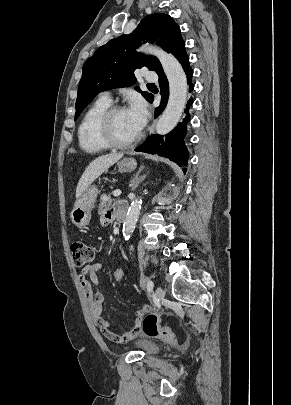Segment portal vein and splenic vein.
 I'll return each instance as SVG.
<instances>
[{"mask_svg": "<svg viewBox=\"0 0 291 405\" xmlns=\"http://www.w3.org/2000/svg\"><path fill=\"white\" fill-rule=\"evenodd\" d=\"M121 190H115L114 192H113V195L115 196V197H118V196H120L121 195Z\"/></svg>", "mask_w": 291, "mask_h": 405, "instance_id": "1", "label": "portal vein and splenic vein"}]
</instances>
